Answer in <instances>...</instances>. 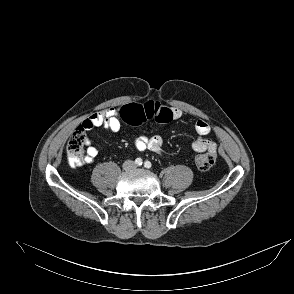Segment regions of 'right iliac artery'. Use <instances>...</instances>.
<instances>
[{"mask_svg":"<svg viewBox=\"0 0 294 294\" xmlns=\"http://www.w3.org/2000/svg\"><path fill=\"white\" fill-rule=\"evenodd\" d=\"M135 163H136V165H138V166H140V165H142V159L141 158H137L136 160H135Z\"/></svg>","mask_w":294,"mask_h":294,"instance_id":"1","label":"right iliac artery"}]
</instances>
